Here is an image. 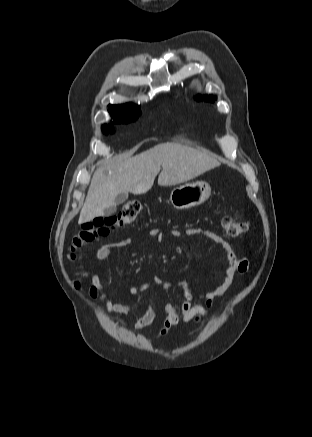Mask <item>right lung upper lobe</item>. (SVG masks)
Listing matches in <instances>:
<instances>
[{
	"instance_id": "cb5924a9",
	"label": "right lung upper lobe",
	"mask_w": 312,
	"mask_h": 437,
	"mask_svg": "<svg viewBox=\"0 0 312 437\" xmlns=\"http://www.w3.org/2000/svg\"><path fill=\"white\" fill-rule=\"evenodd\" d=\"M108 111L113 119H129L141 114L140 107L131 103L124 105H108Z\"/></svg>"
}]
</instances>
